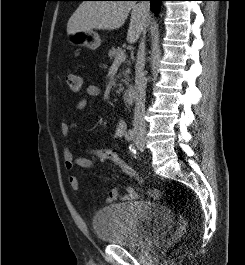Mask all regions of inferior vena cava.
<instances>
[{"label":"inferior vena cava","instance_id":"1","mask_svg":"<svg viewBox=\"0 0 245 265\" xmlns=\"http://www.w3.org/2000/svg\"><path fill=\"white\" fill-rule=\"evenodd\" d=\"M139 8L144 14V17L149 15L150 3L148 1L139 2ZM145 67V41L141 40L137 53V60L135 64V109L133 118V129L136 134L146 133L145 116V96L147 79L144 75Z\"/></svg>","mask_w":245,"mask_h":265}]
</instances>
